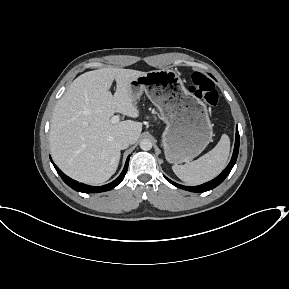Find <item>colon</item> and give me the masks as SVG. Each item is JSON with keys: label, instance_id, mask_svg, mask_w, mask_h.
<instances>
[{"label": "colon", "instance_id": "obj_1", "mask_svg": "<svg viewBox=\"0 0 289 289\" xmlns=\"http://www.w3.org/2000/svg\"><path fill=\"white\" fill-rule=\"evenodd\" d=\"M189 91L196 97L201 98L212 109L218 101V93L214 83L205 74L195 72L190 77Z\"/></svg>", "mask_w": 289, "mask_h": 289}]
</instances>
